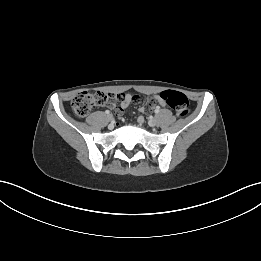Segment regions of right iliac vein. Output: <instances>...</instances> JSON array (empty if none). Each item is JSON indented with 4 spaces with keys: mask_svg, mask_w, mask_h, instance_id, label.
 Segmentation results:
<instances>
[{
    "mask_svg": "<svg viewBox=\"0 0 261 261\" xmlns=\"http://www.w3.org/2000/svg\"><path fill=\"white\" fill-rule=\"evenodd\" d=\"M107 119H108V121H112V120H113L112 114H108V115H107Z\"/></svg>",
    "mask_w": 261,
    "mask_h": 261,
    "instance_id": "right-iliac-vein-1",
    "label": "right iliac vein"
}]
</instances>
